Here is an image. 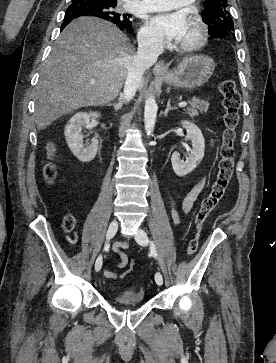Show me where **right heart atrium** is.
<instances>
[{"label":"right heart atrium","instance_id":"right-heart-atrium-1","mask_svg":"<svg viewBox=\"0 0 276 363\" xmlns=\"http://www.w3.org/2000/svg\"><path fill=\"white\" fill-rule=\"evenodd\" d=\"M140 39L147 46H158L161 42L160 38L147 26L141 29Z\"/></svg>","mask_w":276,"mask_h":363}]
</instances>
